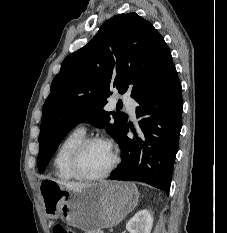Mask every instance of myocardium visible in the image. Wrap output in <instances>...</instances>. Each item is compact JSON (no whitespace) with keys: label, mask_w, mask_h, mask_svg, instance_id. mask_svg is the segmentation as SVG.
Wrapping results in <instances>:
<instances>
[{"label":"myocardium","mask_w":227,"mask_h":233,"mask_svg":"<svg viewBox=\"0 0 227 233\" xmlns=\"http://www.w3.org/2000/svg\"><path fill=\"white\" fill-rule=\"evenodd\" d=\"M93 143H105L110 147L111 152H112V161L110 165L104 172L98 175L85 174L84 172H82L80 168V158L84 150ZM118 162H119V156H118V152L114 144L110 140L105 139L103 137L92 136V137L84 138L82 141H80L76 145V147L71 153L70 160H69V166H70V170L72 174L77 179L84 180V181H98V180H102L108 177L112 173V171L115 169Z\"/></svg>","instance_id":"myocardium-1"}]
</instances>
